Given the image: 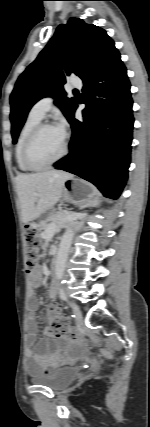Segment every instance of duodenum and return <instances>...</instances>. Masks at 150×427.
Masks as SVG:
<instances>
[{
	"instance_id": "410a0bca",
	"label": "duodenum",
	"mask_w": 150,
	"mask_h": 427,
	"mask_svg": "<svg viewBox=\"0 0 150 427\" xmlns=\"http://www.w3.org/2000/svg\"><path fill=\"white\" fill-rule=\"evenodd\" d=\"M54 253H55V257H54V259H53V261H52V268H55L56 263H57V256H56L57 251H55Z\"/></svg>"
}]
</instances>
